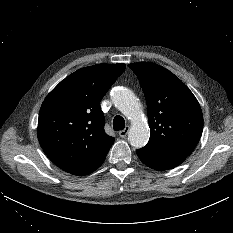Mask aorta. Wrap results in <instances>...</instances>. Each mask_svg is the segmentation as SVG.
<instances>
[{"mask_svg":"<svg viewBox=\"0 0 233 233\" xmlns=\"http://www.w3.org/2000/svg\"><path fill=\"white\" fill-rule=\"evenodd\" d=\"M112 101L131 122L128 134L130 144L135 148L145 146L149 140V127L134 93L125 88H116L112 92Z\"/></svg>","mask_w":233,"mask_h":233,"instance_id":"obj_1","label":"aorta"}]
</instances>
